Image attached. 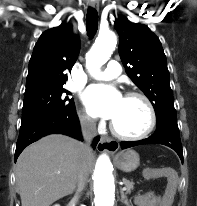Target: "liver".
Wrapping results in <instances>:
<instances>
[{
  "label": "liver",
  "instance_id": "6515ba94",
  "mask_svg": "<svg viewBox=\"0 0 197 206\" xmlns=\"http://www.w3.org/2000/svg\"><path fill=\"white\" fill-rule=\"evenodd\" d=\"M83 156L89 174L93 152L84 154L82 143L59 134L43 137L24 149L15 170L22 206H50L71 194Z\"/></svg>",
  "mask_w": 197,
  "mask_h": 206
}]
</instances>
